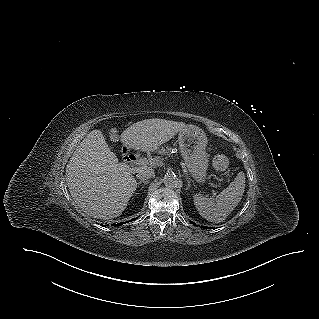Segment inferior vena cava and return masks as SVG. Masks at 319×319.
<instances>
[{
    "mask_svg": "<svg viewBox=\"0 0 319 319\" xmlns=\"http://www.w3.org/2000/svg\"><path fill=\"white\" fill-rule=\"evenodd\" d=\"M155 176V172L152 169H142L137 172L136 177L143 180L149 179Z\"/></svg>",
    "mask_w": 319,
    "mask_h": 319,
    "instance_id": "inferior-vena-cava-1",
    "label": "inferior vena cava"
}]
</instances>
